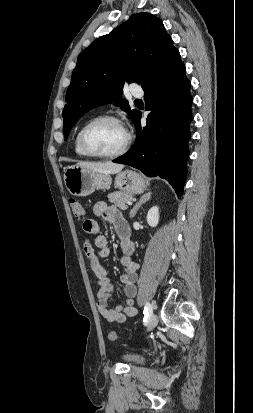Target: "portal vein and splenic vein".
Segmentation results:
<instances>
[{
  "instance_id": "18ae733b",
  "label": "portal vein and splenic vein",
  "mask_w": 253,
  "mask_h": 413,
  "mask_svg": "<svg viewBox=\"0 0 253 413\" xmlns=\"http://www.w3.org/2000/svg\"><path fill=\"white\" fill-rule=\"evenodd\" d=\"M127 204H128V205H132V202H131V201H128Z\"/></svg>"
}]
</instances>
